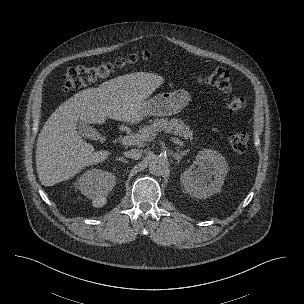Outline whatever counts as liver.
<instances>
[{
  "mask_svg": "<svg viewBox=\"0 0 304 304\" xmlns=\"http://www.w3.org/2000/svg\"><path fill=\"white\" fill-rule=\"evenodd\" d=\"M162 76L135 72L88 88L63 102L45 122L36 144V168L44 186L75 176L84 167L104 161L108 151L95 152L77 131L79 122L103 124L140 119L142 103L162 84Z\"/></svg>",
  "mask_w": 304,
  "mask_h": 304,
  "instance_id": "obj_1",
  "label": "liver"
}]
</instances>
